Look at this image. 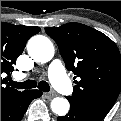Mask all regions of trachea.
Listing matches in <instances>:
<instances>
[{
    "label": "trachea",
    "instance_id": "trachea-1",
    "mask_svg": "<svg viewBox=\"0 0 121 121\" xmlns=\"http://www.w3.org/2000/svg\"><path fill=\"white\" fill-rule=\"evenodd\" d=\"M9 85L17 89H32L37 87V83L34 80H27L25 82H14L9 80ZM38 88L44 92H49L50 86L45 81H40L38 83Z\"/></svg>",
    "mask_w": 121,
    "mask_h": 121
}]
</instances>
